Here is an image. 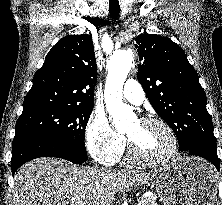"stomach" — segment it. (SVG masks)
I'll list each match as a JSON object with an SVG mask.
<instances>
[{"label": "stomach", "mask_w": 222, "mask_h": 205, "mask_svg": "<svg viewBox=\"0 0 222 205\" xmlns=\"http://www.w3.org/2000/svg\"><path fill=\"white\" fill-rule=\"evenodd\" d=\"M156 190L164 205H211L217 190L215 172L202 159L178 158L160 170Z\"/></svg>", "instance_id": "1"}]
</instances>
